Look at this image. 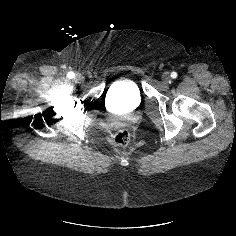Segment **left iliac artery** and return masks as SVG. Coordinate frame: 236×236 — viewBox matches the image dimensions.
I'll return each instance as SVG.
<instances>
[{
    "instance_id": "44dca946",
    "label": "left iliac artery",
    "mask_w": 236,
    "mask_h": 236,
    "mask_svg": "<svg viewBox=\"0 0 236 236\" xmlns=\"http://www.w3.org/2000/svg\"><path fill=\"white\" fill-rule=\"evenodd\" d=\"M171 77H172V78H176V77H177V73H176V72H172V73H171Z\"/></svg>"
}]
</instances>
